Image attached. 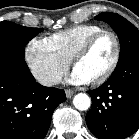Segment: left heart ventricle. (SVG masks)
I'll use <instances>...</instances> for the list:
<instances>
[{
    "label": "left heart ventricle",
    "mask_w": 139,
    "mask_h": 139,
    "mask_svg": "<svg viewBox=\"0 0 139 139\" xmlns=\"http://www.w3.org/2000/svg\"><path fill=\"white\" fill-rule=\"evenodd\" d=\"M114 51L113 39L110 36H103L95 43L92 49L77 62L75 69L93 81L106 71L112 61Z\"/></svg>",
    "instance_id": "obj_1"
}]
</instances>
